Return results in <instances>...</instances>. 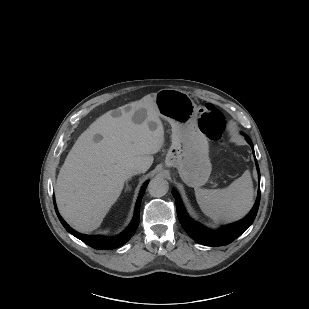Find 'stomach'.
Masks as SVG:
<instances>
[{"label":"stomach","instance_id":"obj_1","mask_svg":"<svg viewBox=\"0 0 309 309\" xmlns=\"http://www.w3.org/2000/svg\"><path fill=\"white\" fill-rule=\"evenodd\" d=\"M161 118L172 127L171 147L165 159L167 167H176L190 187L204 185L211 173L209 145L197 122V106L184 91L161 89L155 95Z\"/></svg>","mask_w":309,"mask_h":309}]
</instances>
